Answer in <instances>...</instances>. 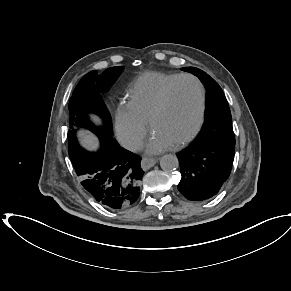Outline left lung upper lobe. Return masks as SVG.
<instances>
[{"label": "left lung upper lobe", "mask_w": 291, "mask_h": 291, "mask_svg": "<svg viewBox=\"0 0 291 291\" xmlns=\"http://www.w3.org/2000/svg\"><path fill=\"white\" fill-rule=\"evenodd\" d=\"M182 70L196 75L207 88L206 118L196 139L235 145L231 112L221 87L198 68L185 67Z\"/></svg>", "instance_id": "left-lung-upper-lobe-1"}]
</instances>
